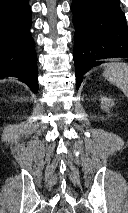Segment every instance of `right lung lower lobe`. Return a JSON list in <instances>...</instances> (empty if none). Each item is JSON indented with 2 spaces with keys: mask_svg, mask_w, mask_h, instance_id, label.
Returning a JSON list of instances; mask_svg holds the SVG:
<instances>
[{
  "mask_svg": "<svg viewBox=\"0 0 128 213\" xmlns=\"http://www.w3.org/2000/svg\"><path fill=\"white\" fill-rule=\"evenodd\" d=\"M28 0H0V78L17 77L38 92Z\"/></svg>",
  "mask_w": 128,
  "mask_h": 213,
  "instance_id": "98d812e1",
  "label": "right lung lower lobe"
}]
</instances>
